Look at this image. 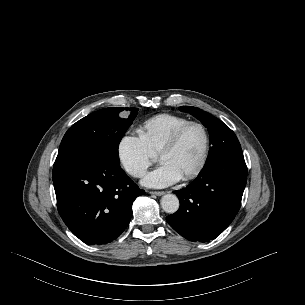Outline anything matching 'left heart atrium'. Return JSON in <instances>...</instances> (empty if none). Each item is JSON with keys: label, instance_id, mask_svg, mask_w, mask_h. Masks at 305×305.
I'll return each instance as SVG.
<instances>
[{"label": "left heart atrium", "instance_id": "1", "mask_svg": "<svg viewBox=\"0 0 305 305\" xmlns=\"http://www.w3.org/2000/svg\"><path fill=\"white\" fill-rule=\"evenodd\" d=\"M180 179L181 176L170 165L161 163L143 179V184L148 187L161 188L172 185Z\"/></svg>", "mask_w": 305, "mask_h": 305}]
</instances>
